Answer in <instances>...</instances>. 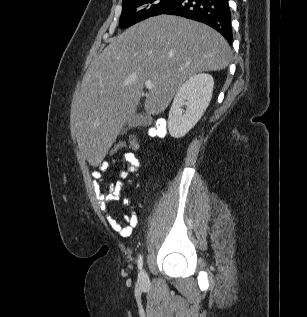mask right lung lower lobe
<instances>
[{
  "label": "right lung lower lobe",
  "mask_w": 307,
  "mask_h": 317,
  "mask_svg": "<svg viewBox=\"0 0 307 317\" xmlns=\"http://www.w3.org/2000/svg\"><path fill=\"white\" fill-rule=\"evenodd\" d=\"M162 14L178 15L205 23L232 43L228 0H175Z\"/></svg>",
  "instance_id": "1"
}]
</instances>
